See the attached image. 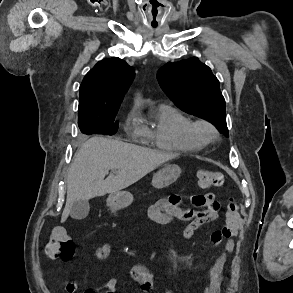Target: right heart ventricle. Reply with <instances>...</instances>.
Returning a JSON list of instances; mask_svg holds the SVG:
<instances>
[{
  "label": "right heart ventricle",
  "instance_id": "e07e8e85",
  "mask_svg": "<svg viewBox=\"0 0 293 293\" xmlns=\"http://www.w3.org/2000/svg\"><path fill=\"white\" fill-rule=\"evenodd\" d=\"M191 119L172 105L162 104L150 126L142 125L139 133L155 148L173 152H191L198 145L189 133Z\"/></svg>",
  "mask_w": 293,
  "mask_h": 293
}]
</instances>
